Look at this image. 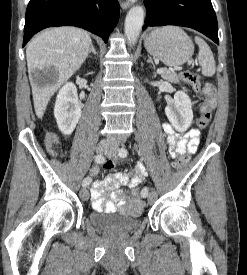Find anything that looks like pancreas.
I'll return each instance as SVG.
<instances>
[{
    "mask_svg": "<svg viewBox=\"0 0 247 275\" xmlns=\"http://www.w3.org/2000/svg\"><path fill=\"white\" fill-rule=\"evenodd\" d=\"M162 78L171 83H178L179 76L174 71L165 70L163 74H161Z\"/></svg>",
    "mask_w": 247,
    "mask_h": 275,
    "instance_id": "cf45deb5",
    "label": "pancreas"
}]
</instances>
